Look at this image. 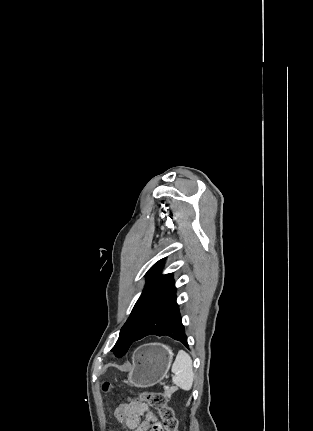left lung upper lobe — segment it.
<instances>
[{
  "label": "left lung upper lobe",
  "mask_w": 313,
  "mask_h": 431,
  "mask_svg": "<svg viewBox=\"0 0 313 431\" xmlns=\"http://www.w3.org/2000/svg\"><path fill=\"white\" fill-rule=\"evenodd\" d=\"M165 259L155 263L146 273L147 284L136 302L129 318L121 328L119 338L112 348L117 357L125 355L147 322L166 304L176 298L172 273L161 275Z\"/></svg>",
  "instance_id": "1"
}]
</instances>
